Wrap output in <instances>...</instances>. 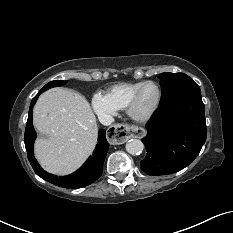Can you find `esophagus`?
Returning <instances> with one entry per match:
<instances>
[{
  "label": "esophagus",
  "instance_id": "34e87169",
  "mask_svg": "<svg viewBox=\"0 0 233 233\" xmlns=\"http://www.w3.org/2000/svg\"><path fill=\"white\" fill-rule=\"evenodd\" d=\"M143 136V128L124 124H115L105 132V139L111 144H122L129 137L142 138Z\"/></svg>",
  "mask_w": 233,
  "mask_h": 233
}]
</instances>
